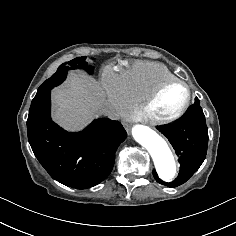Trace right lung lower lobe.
I'll use <instances>...</instances> for the list:
<instances>
[{
    "mask_svg": "<svg viewBox=\"0 0 236 236\" xmlns=\"http://www.w3.org/2000/svg\"><path fill=\"white\" fill-rule=\"evenodd\" d=\"M50 91L34 97L27 120L31 148L49 175L76 189L93 187L112 171L115 152L127 137L121 123L94 120L86 129L69 133L50 117Z\"/></svg>",
    "mask_w": 236,
    "mask_h": 236,
    "instance_id": "obj_1",
    "label": "right lung lower lobe"
}]
</instances>
